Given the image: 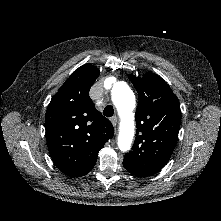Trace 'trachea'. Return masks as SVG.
<instances>
[{
    "instance_id": "1",
    "label": "trachea",
    "mask_w": 221,
    "mask_h": 221,
    "mask_svg": "<svg viewBox=\"0 0 221 221\" xmlns=\"http://www.w3.org/2000/svg\"><path fill=\"white\" fill-rule=\"evenodd\" d=\"M103 114L106 116V117H111L113 116L114 114V109L111 105L105 107L104 111H103Z\"/></svg>"
}]
</instances>
